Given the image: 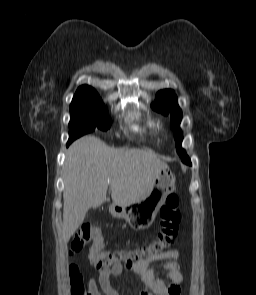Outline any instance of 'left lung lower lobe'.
<instances>
[{"instance_id":"1","label":"left lung lower lobe","mask_w":256,"mask_h":295,"mask_svg":"<svg viewBox=\"0 0 256 295\" xmlns=\"http://www.w3.org/2000/svg\"><path fill=\"white\" fill-rule=\"evenodd\" d=\"M187 164H191L189 157H188V162H187Z\"/></svg>"}]
</instances>
